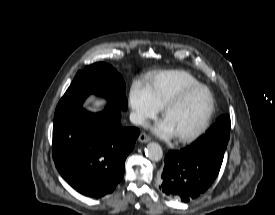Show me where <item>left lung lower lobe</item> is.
Returning <instances> with one entry per match:
<instances>
[{"mask_svg":"<svg viewBox=\"0 0 275 215\" xmlns=\"http://www.w3.org/2000/svg\"><path fill=\"white\" fill-rule=\"evenodd\" d=\"M159 188L173 199L188 202L203 194L216 179L221 164L188 151H170L165 156Z\"/></svg>","mask_w":275,"mask_h":215,"instance_id":"obj_1","label":"left lung lower lobe"}]
</instances>
